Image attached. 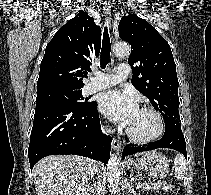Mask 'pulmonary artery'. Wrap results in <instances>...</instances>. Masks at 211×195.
Here are the masks:
<instances>
[{
	"label": "pulmonary artery",
	"instance_id": "obj_1",
	"mask_svg": "<svg viewBox=\"0 0 211 195\" xmlns=\"http://www.w3.org/2000/svg\"><path fill=\"white\" fill-rule=\"evenodd\" d=\"M130 67L128 64H120L116 73H94V76L86 85V92L93 93L120 83L128 78Z\"/></svg>",
	"mask_w": 211,
	"mask_h": 195
}]
</instances>
